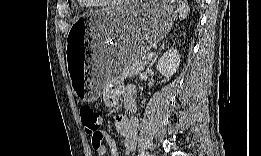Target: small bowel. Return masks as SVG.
<instances>
[{
  "label": "small bowel",
  "mask_w": 261,
  "mask_h": 156,
  "mask_svg": "<svg viewBox=\"0 0 261 156\" xmlns=\"http://www.w3.org/2000/svg\"><path fill=\"white\" fill-rule=\"evenodd\" d=\"M120 91H122L124 96V105L128 116L118 115L115 119V127L117 132L123 137V153L127 156L135 150L138 140L139 121L135 116L137 110V105L134 100L135 89L133 86L121 88L120 86L111 84L105 89L103 99L107 106L113 107L117 103V96ZM104 138L108 148L100 141L97 146H93L95 154L97 156H118V150L114 140L108 135H105Z\"/></svg>",
  "instance_id": "c3829d8e"
}]
</instances>
